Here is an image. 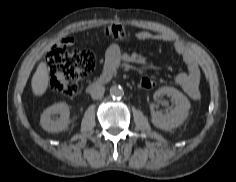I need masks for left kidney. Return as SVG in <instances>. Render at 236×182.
Segmentation results:
<instances>
[{
  "label": "left kidney",
  "mask_w": 236,
  "mask_h": 182,
  "mask_svg": "<svg viewBox=\"0 0 236 182\" xmlns=\"http://www.w3.org/2000/svg\"><path fill=\"white\" fill-rule=\"evenodd\" d=\"M167 95L174 101L175 106L169 112L163 113L154 110V104L150 105L152 123L155 127L162 130L177 128L188 116L191 104L188 98L173 87H161L154 93V100Z\"/></svg>",
  "instance_id": "obj_1"
}]
</instances>
